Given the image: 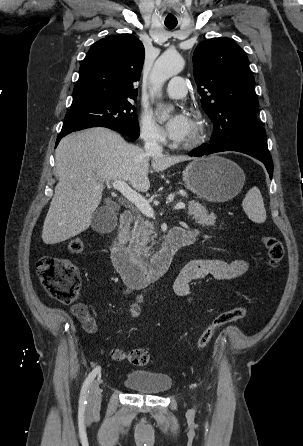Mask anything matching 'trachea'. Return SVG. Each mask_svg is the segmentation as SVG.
Listing matches in <instances>:
<instances>
[{"label": "trachea", "mask_w": 303, "mask_h": 446, "mask_svg": "<svg viewBox=\"0 0 303 446\" xmlns=\"http://www.w3.org/2000/svg\"><path fill=\"white\" fill-rule=\"evenodd\" d=\"M176 22H165V26L169 29H174L176 27Z\"/></svg>", "instance_id": "1"}]
</instances>
